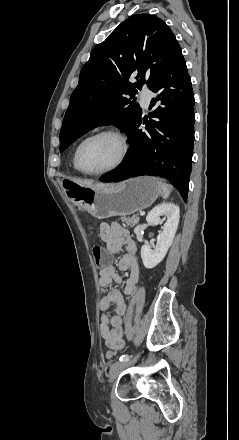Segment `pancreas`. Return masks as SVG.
<instances>
[{"mask_svg":"<svg viewBox=\"0 0 239 440\" xmlns=\"http://www.w3.org/2000/svg\"><path fill=\"white\" fill-rule=\"evenodd\" d=\"M119 220L124 222V224H127V226H130V228H134V226L138 224L140 218L139 216H131V218H125V216H123V218H119Z\"/></svg>","mask_w":239,"mask_h":440,"instance_id":"pancreas-1","label":"pancreas"}]
</instances>
